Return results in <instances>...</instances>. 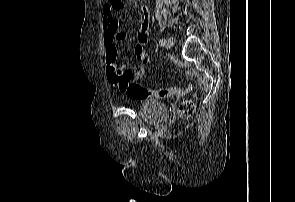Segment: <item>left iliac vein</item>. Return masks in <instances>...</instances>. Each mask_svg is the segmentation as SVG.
<instances>
[{"mask_svg":"<svg viewBox=\"0 0 295 202\" xmlns=\"http://www.w3.org/2000/svg\"><path fill=\"white\" fill-rule=\"evenodd\" d=\"M174 44V39L172 37H169L166 41H165V47L170 49Z\"/></svg>","mask_w":295,"mask_h":202,"instance_id":"4c4485c4","label":"left iliac vein"}]
</instances>
